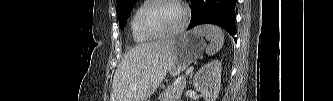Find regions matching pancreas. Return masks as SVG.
<instances>
[{
	"label": "pancreas",
	"instance_id": "pancreas-1",
	"mask_svg": "<svg viewBox=\"0 0 333 101\" xmlns=\"http://www.w3.org/2000/svg\"><path fill=\"white\" fill-rule=\"evenodd\" d=\"M186 80L184 77L177 83L170 85L161 95L159 101H178L184 91Z\"/></svg>",
	"mask_w": 333,
	"mask_h": 101
}]
</instances>
